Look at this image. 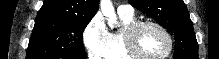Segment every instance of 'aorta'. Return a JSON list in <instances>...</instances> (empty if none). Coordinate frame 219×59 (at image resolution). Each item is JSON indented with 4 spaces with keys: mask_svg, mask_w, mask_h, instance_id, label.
<instances>
[{
    "mask_svg": "<svg viewBox=\"0 0 219 59\" xmlns=\"http://www.w3.org/2000/svg\"><path fill=\"white\" fill-rule=\"evenodd\" d=\"M100 9L103 15L107 18L109 25L117 24L114 7L111 0H101Z\"/></svg>",
    "mask_w": 219,
    "mask_h": 59,
    "instance_id": "1",
    "label": "aorta"
}]
</instances>
